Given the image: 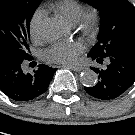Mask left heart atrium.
Listing matches in <instances>:
<instances>
[{
  "label": "left heart atrium",
  "instance_id": "obj_1",
  "mask_svg": "<svg viewBox=\"0 0 135 135\" xmlns=\"http://www.w3.org/2000/svg\"><path fill=\"white\" fill-rule=\"evenodd\" d=\"M84 50V44L79 41H60L49 47L45 55L51 62L74 64L78 61L80 54H82Z\"/></svg>",
  "mask_w": 135,
  "mask_h": 135
}]
</instances>
